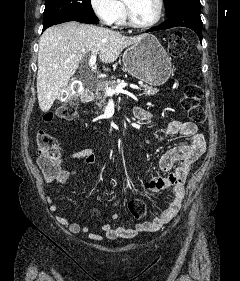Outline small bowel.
<instances>
[{"instance_id":"small-bowel-1","label":"small bowel","mask_w":240,"mask_h":281,"mask_svg":"<svg viewBox=\"0 0 240 281\" xmlns=\"http://www.w3.org/2000/svg\"><path fill=\"white\" fill-rule=\"evenodd\" d=\"M141 120H151L155 114L150 111L139 109ZM164 133L166 136L181 135L187 138V143L176 146L165 153L159 162V167L166 176L153 175L146 184V188L151 193H159L165 189L171 188L172 200L159 216L152 221L135 224L125 228L122 226L114 227L111 223H105L101 226L102 235L91 231L87 226H81L78 223H70L68 219L57 214L58 207L54 204L50 210L55 213L56 220L68 227L71 233L77 234L83 232L89 238L95 240L133 238L142 232L157 231L165 224L169 223L179 212L182 200L185 196L184 184L188 179L194 163L202 156L206 149V142L203 134L198 131V127L193 122L171 121L167 124ZM70 160H82L88 165L96 163V152L94 149L85 148L69 154ZM76 174L75 170L59 169L55 175H46L47 183H57L66 185L71 177ZM120 203V198L116 199L113 206ZM112 220L117 219V215H112Z\"/></svg>"}]
</instances>
